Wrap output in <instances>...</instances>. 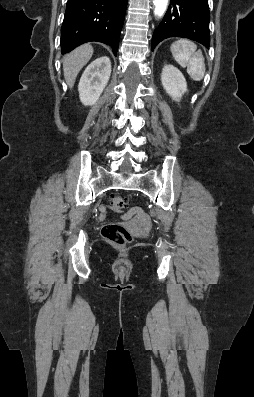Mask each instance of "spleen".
Here are the masks:
<instances>
[{
    "label": "spleen",
    "instance_id": "spleen-1",
    "mask_svg": "<svg viewBox=\"0 0 254 397\" xmlns=\"http://www.w3.org/2000/svg\"><path fill=\"white\" fill-rule=\"evenodd\" d=\"M187 39L175 41L170 50L174 59L182 66L187 67V73L194 81H201L205 75V60L201 50Z\"/></svg>",
    "mask_w": 254,
    "mask_h": 397
}]
</instances>
